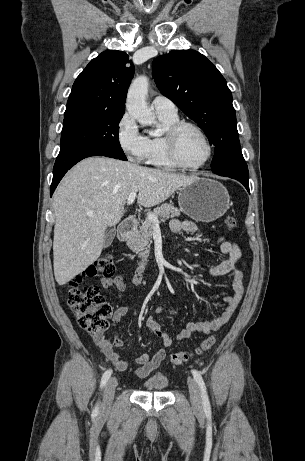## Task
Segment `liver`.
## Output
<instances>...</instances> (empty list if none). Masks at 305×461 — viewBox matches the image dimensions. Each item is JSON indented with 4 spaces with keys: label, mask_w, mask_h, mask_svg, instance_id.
I'll return each instance as SVG.
<instances>
[{
    "label": "liver",
    "mask_w": 305,
    "mask_h": 461,
    "mask_svg": "<svg viewBox=\"0 0 305 461\" xmlns=\"http://www.w3.org/2000/svg\"><path fill=\"white\" fill-rule=\"evenodd\" d=\"M195 178L106 157L79 162L62 179L53 199L57 283L66 284L98 259L106 230L120 221L131 192L139 193L138 204L153 207Z\"/></svg>",
    "instance_id": "obj_1"
}]
</instances>
